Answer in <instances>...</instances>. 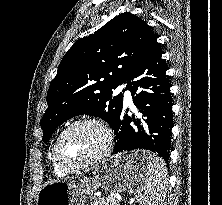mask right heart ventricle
Masks as SVG:
<instances>
[{"mask_svg": "<svg viewBox=\"0 0 222 205\" xmlns=\"http://www.w3.org/2000/svg\"><path fill=\"white\" fill-rule=\"evenodd\" d=\"M51 162H52L53 171L57 176H64L68 173V171L63 170L61 167L57 165V163L53 158V151L51 153Z\"/></svg>", "mask_w": 222, "mask_h": 205, "instance_id": "1", "label": "right heart ventricle"}]
</instances>
